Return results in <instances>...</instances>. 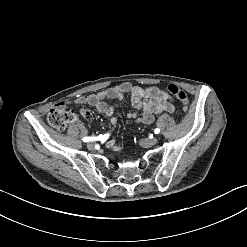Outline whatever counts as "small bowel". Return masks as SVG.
I'll list each match as a JSON object with an SVG mask.
<instances>
[{"instance_id":"obj_1","label":"small bowel","mask_w":247,"mask_h":247,"mask_svg":"<svg viewBox=\"0 0 247 247\" xmlns=\"http://www.w3.org/2000/svg\"><path fill=\"white\" fill-rule=\"evenodd\" d=\"M126 95H129L130 103L134 108L143 111L142 116L138 119H136V113L127 112L128 120H136L137 122L149 125L154 122L155 114L161 112L173 113L175 110L172 97L165 91L157 87L143 88L132 85L129 82H123L96 93L80 96L74 100V103L94 107L98 112L109 117L112 125H116L115 105L106 103V100L123 101ZM68 104V101L60 102L57 107L64 109ZM81 115L83 118L89 119L90 125L96 124V119L92 118L93 113L90 109H82ZM106 147L114 150L120 149L114 140L107 142Z\"/></svg>"}]
</instances>
